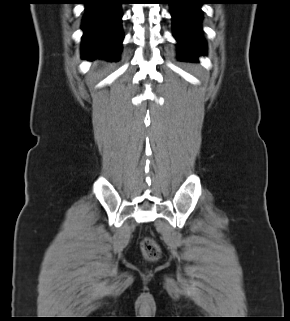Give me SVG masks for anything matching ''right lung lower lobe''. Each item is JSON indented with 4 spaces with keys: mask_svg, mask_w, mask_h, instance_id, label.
<instances>
[{
    "mask_svg": "<svg viewBox=\"0 0 290 321\" xmlns=\"http://www.w3.org/2000/svg\"><path fill=\"white\" fill-rule=\"evenodd\" d=\"M122 3V0H85L86 14L82 24L84 59L102 57L110 61L118 60L124 38Z\"/></svg>",
    "mask_w": 290,
    "mask_h": 321,
    "instance_id": "obj_1",
    "label": "right lung lower lobe"
}]
</instances>
